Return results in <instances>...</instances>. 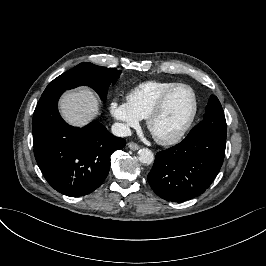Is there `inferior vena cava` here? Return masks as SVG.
Listing matches in <instances>:
<instances>
[{
  "label": "inferior vena cava",
  "instance_id": "obj_1",
  "mask_svg": "<svg viewBox=\"0 0 266 266\" xmlns=\"http://www.w3.org/2000/svg\"><path fill=\"white\" fill-rule=\"evenodd\" d=\"M112 134L117 137L131 136L130 128L123 123H114L111 127Z\"/></svg>",
  "mask_w": 266,
  "mask_h": 266
}]
</instances>
